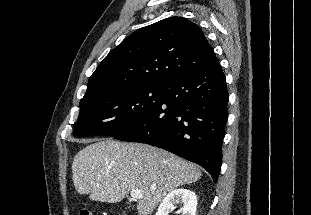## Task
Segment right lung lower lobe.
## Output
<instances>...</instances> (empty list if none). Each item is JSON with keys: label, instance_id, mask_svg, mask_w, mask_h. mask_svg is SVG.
Instances as JSON below:
<instances>
[{"label": "right lung lower lobe", "instance_id": "1", "mask_svg": "<svg viewBox=\"0 0 311 215\" xmlns=\"http://www.w3.org/2000/svg\"><path fill=\"white\" fill-rule=\"evenodd\" d=\"M226 77L219 61L163 85L160 105L114 138L163 148L205 168L217 181L228 118Z\"/></svg>", "mask_w": 311, "mask_h": 215}]
</instances>
